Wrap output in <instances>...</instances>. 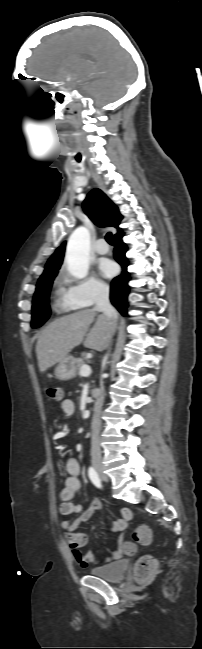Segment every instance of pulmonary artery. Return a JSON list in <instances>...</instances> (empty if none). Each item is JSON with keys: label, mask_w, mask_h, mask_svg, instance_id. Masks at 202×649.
<instances>
[{"label": "pulmonary artery", "mask_w": 202, "mask_h": 649, "mask_svg": "<svg viewBox=\"0 0 202 649\" xmlns=\"http://www.w3.org/2000/svg\"><path fill=\"white\" fill-rule=\"evenodd\" d=\"M95 252L100 255H105L109 251V247L104 239L97 240L94 248Z\"/></svg>", "instance_id": "1"}]
</instances>
